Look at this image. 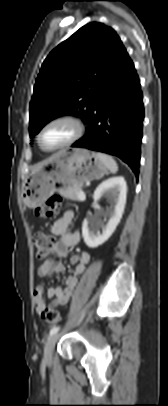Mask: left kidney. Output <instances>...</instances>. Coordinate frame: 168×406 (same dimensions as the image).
<instances>
[{
    "label": "left kidney",
    "instance_id": "obj_1",
    "mask_svg": "<svg viewBox=\"0 0 168 406\" xmlns=\"http://www.w3.org/2000/svg\"><path fill=\"white\" fill-rule=\"evenodd\" d=\"M127 185L122 176L112 177L102 182L94 192L93 199L99 200L103 195L111 197L114 206L109 209V221L106 225L91 218L82 224V236L89 248H96L106 242L119 224L126 204ZM90 224V227H89ZM101 227L102 233L96 235L95 229Z\"/></svg>",
    "mask_w": 168,
    "mask_h": 406
}]
</instances>
